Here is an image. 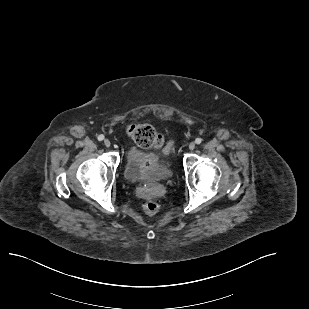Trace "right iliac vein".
<instances>
[{"instance_id": "1", "label": "right iliac vein", "mask_w": 309, "mask_h": 309, "mask_svg": "<svg viewBox=\"0 0 309 309\" xmlns=\"http://www.w3.org/2000/svg\"><path fill=\"white\" fill-rule=\"evenodd\" d=\"M104 145H105L106 147H110V145H111L110 140L105 139V140H104Z\"/></svg>"}]
</instances>
